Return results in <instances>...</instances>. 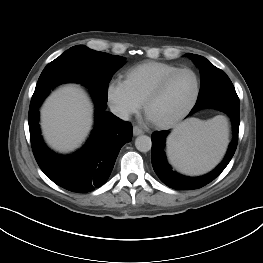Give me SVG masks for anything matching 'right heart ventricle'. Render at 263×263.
I'll list each match as a JSON object with an SVG mask.
<instances>
[{"label":"right heart ventricle","instance_id":"1","mask_svg":"<svg viewBox=\"0 0 263 263\" xmlns=\"http://www.w3.org/2000/svg\"><path fill=\"white\" fill-rule=\"evenodd\" d=\"M176 69L177 66L164 62H144L125 71L124 83L130 93L142 104L158 82Z\"/></svg>","mask_w":263,"mask_h":263}]
</instances>
